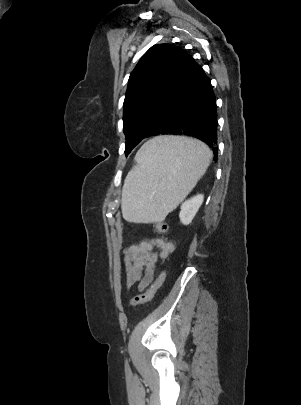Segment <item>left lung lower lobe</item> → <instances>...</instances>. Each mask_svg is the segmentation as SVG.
Segmentation results:
<instances>
[{
    "label": "left lung lower lobe",
    "mask_w": 301,
    "mask_h": 405,
    "mask_svg": "<svg viewBox=\"0 0 301 405\" xmlns=\"http://www.w3.org/2000/svg\"><path fill=\"white\" fill-rule=\"evenodd\" d=\"M216 108L210 79L202 67L193 60L186 83L153 136L186 135L195 137L206 143L217 156ZM142 140L134 138L131 150Z\"/></svg>",
    "instance_id": "0a47b994"
}]
</instances>
